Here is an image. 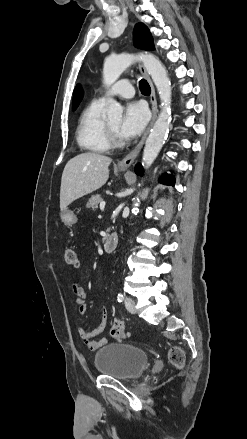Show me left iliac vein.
I'll return each instance as SVG.
<instances>
[{
    "label": "left iliac vein",
    "mask_w": 247,
    "mask_h": 439,
    "mask_svg": "<svg viewBox=\"0 0 247 439\" xmlns=\"http://www.w3.org/2000/svg\"><path fill=\"white\" fill-rule=\"evenodd\" d=\"M125 307L132 314L136 312L135 301L130 297L125 298Z\"/></svg>",
    "instance_id": "obj_1"
}]
</instances>
